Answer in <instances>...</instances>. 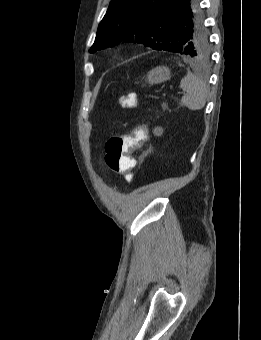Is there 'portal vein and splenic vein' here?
Returning <instances> with one entry per match:
<instances>
[{
  "label": "portal vein and splenic vein",
  "mask_w": 261,
  "mask_h": 340,
  "mask_svg": "<svg viewBox=\"0 0 261 340\" xmlns=\"http://www.w3.org/2000/svg\"><path fill=\"white\" fill-rule=\"evenodd\" d=\"M179 94L184 95L185 93L184 92H180Z\"/></svg>",
  "instance_id": "obj_1"
}]
</instances>
